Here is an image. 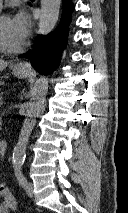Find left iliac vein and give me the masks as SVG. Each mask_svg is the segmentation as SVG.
I'll return each mask as SVG.
<instances>
[{"instance_id": "1", "label": "left iliac vein", "mask_w": 128, "mask_h": 213, "mask_svg": "<svg viewBox=\"0 0 128 213\" xmlns=\"http://www.w3.org/2000/svg\"><path fill=\"white\" fill-rule=\"evenodd\" d=\"M25 191L28 196L32 197L33 196V183L32 182H26L25 185Z\"/></svg>"}]
</instances>
